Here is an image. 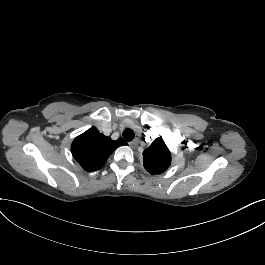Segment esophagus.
Returning <instances> with one entry per match:
<instances>
[{
  "mask_svg": "<svg viewBox=\"0 0 265 265\" xmlns=\"http://www.w3.org/2000/svg\"><path fill=\"white\" fill-rule=\"evenodd\" d=\"M132 149H136L139 146V138H135L133 141L129 142Z\"/></svg>",
  "mask_w": 265,
  "mask_h": 265,
  "instance_id": "esophagus-1",
  "label": "esophagus"
}]
</instances>
